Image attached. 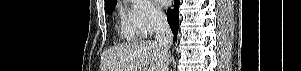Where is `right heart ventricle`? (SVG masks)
I'll return each mask as SVG.
<instances>
[{"instance_id": "obj_1", "label": "right heart ventricle", "mask_w": 301, "mask_h": 71, "mask_svg": "<svg viewBox=\"0 0 301 71\" xmlns=\"http://www.w3.org/2000/svg\"><path fill=\"white\" fill-rule=\"evenodd\" d=\"M120 31L125 38L129 40L135 39V32L124 14L120 16Z\"/></svg>"}]
</instances>
